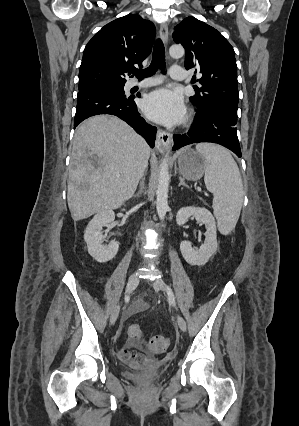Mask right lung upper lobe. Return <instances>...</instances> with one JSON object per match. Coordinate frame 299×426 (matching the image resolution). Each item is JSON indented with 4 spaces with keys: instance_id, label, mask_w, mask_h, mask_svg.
<instances>
[{
    "instance_id": "obj_1",
    "label": "right lung upper lobe",
    "mask_w": 299,
    "mask_h": 426,
    "mask_svg": "<svg viewBox=\"0 0 299 426\" xmlns=\"http://www.w3.org/2000/svg\"><path fill=\"white\" fill-rule=\"evenodd\" d=\"M154 38V24L139 15L129 14L108 23L84 49L79 87L125 84L124 73L134 64L141 66Z\"/></svg>"
}]
</instances>
